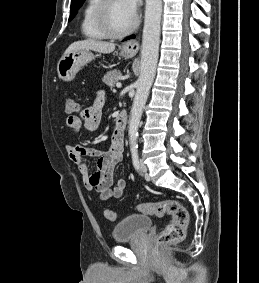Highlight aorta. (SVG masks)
<instances>
[{"mask_svg": "<svg viewBox=\"0 0 259 283\" xmlns=\"http://www.w3.org/2000/svg\"><path fill=\"white\" fill-rule=\"evenodd\" d=\"M161 16L162 0H146L140 76L136 82V94L129 120V141L132 146L136 145L137 142L138 127L143 108L156 73L160 43Z\"/></svg>", "mask_w": 259, "mask_h": 283, "instance_id": "762f6f07", "label": "aorta"}]
</instances>
